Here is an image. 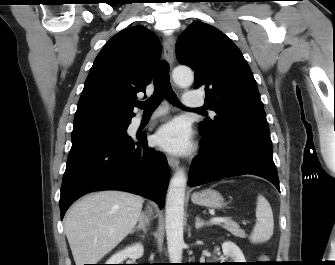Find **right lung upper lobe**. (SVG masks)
Returning a JSON list of instances; mask_svg holds the SVG:
<instances>
[{"label": "right lung upper lobe", "instance_id": "obj_1", "mask_svg": "<svg viewBox=\"0 0 335 265\" xmlns=\"http://www.w3.org/2000/svg\"><path fill=\"white\" fill-rule=\"evenodd\" d=\"M160 52L158 37L143 26L113 36L87 76L73 125L131 122L136 94L150 84Z\"/></svg>", "mask_w": 335, "mask_h": 265}]
</instances>
